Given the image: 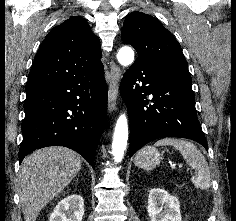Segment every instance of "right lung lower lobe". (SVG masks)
<instances>
[{"label":"right lung lower lobe","instance_id":"1","mask_svg":"<svg viewBox=\"0 0 236 221\" xmlns=\"http://www.w3.org/2000/svg\"><path fill=\"white\" fill-rule=\"evenodd\" d=\"M19 161L36 149L64 146L94 158L107 114L104 72L26 89Z\"/></svg>","mask_w":236,"mask_h":221}]
</instances>
